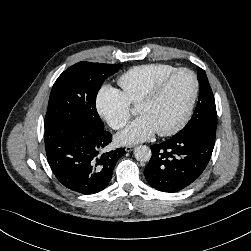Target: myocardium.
<instances>
[{
	"mask_svg": "<svg viewBox=\"0 0 251 251\" xmlns=\"http://www.w3.org/2000/svg\"><path fill=\"white\" fill-rule=\"evenodd\" d=\"M181 73H187L192 77L193 83H194L193 93H192L190 102L187 106V109H186L184 115L182 116V118L178 121V123L170 129H167L164 131H156L157 135H159L161 137H168V136H172V135L178 133L188 123V121L193 113V110H194V107H195V104H196V101H197V98L199 95L200 85H199V80H198L196 73L188 68H178L175 71L168 74L167 76H165L159 82H157L150 89V91L138 102V106L148 105V104H151L152 102H154L161 95V93L164 91V89L169 84V82L175 76H177L178 74H181Z\"/></svg>",
	"mask_w": 251,
	"mask_h": 251,
	"instance_id": "f54148a6",
	"label": "myocardium"
}]
</instances>
